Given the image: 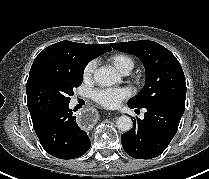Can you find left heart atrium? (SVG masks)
<instances>
[{
  "mask_svg": "<svg viewBox=\"0 0 209 179\" xmlns=\"http://www.w3.org/2000/svg\"><path fill=\"white\" fill-rule=\"evenodd\" d=\"M131 95L129 88H99L91 93V98L102 107L113 109Z\"/></svg>",
  "mask_w": 209,
  "mask_h": 179,
  "instance_id": "left-heart-atrium-1",
  "label": "left heart atrium"
}]
</instances>
